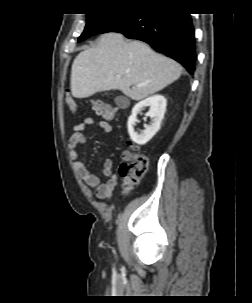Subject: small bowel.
Instances as JSON below:
<instances>
[{
	"label": "small bowel",
	"instance_id": "1",
	"mask_svg": "<svg viewBox=\"0 0 252 303\" xmlns=\"http://www.w3.org/2000/svg\"><path fill=\"white\" fill-rule=\"evenodd\" d=\"M95 125L102 132H111L112 126L105 120L96 121L93 118L87 117L81 120L73 127V133L69 140V157L73 161V168L83 182L94 190L96 197L99 199H108L111 197L114 189L118 184V176L113 172V163L111 159H105L102 165V174L105 180L91 173L85 164L78 160V148L85 143L83 131L88 127Z\"/></svg>",
	"mask_w": 252,
	"mask_h": 303
}]
</instances>
